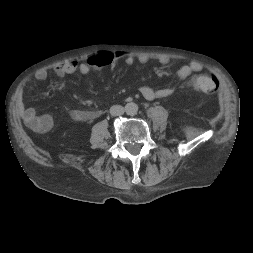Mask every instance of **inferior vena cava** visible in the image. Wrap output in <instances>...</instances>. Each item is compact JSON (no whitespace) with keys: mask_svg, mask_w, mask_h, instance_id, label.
<instances>
[{"mask_svg":"<svg viewBox=\"0 0 253 253\" xmlns=\"http://www.w3.org/2000/svg\"><path fill=\"white\" fill-rule=\"evenodd\" d=\"M125 112V108L122 107L121 105H113L110 108V114L112 116H120L123 115Z\"/></svg>","mask_w":253,"mask_h":253,"instance_id":"602c4592","label":"inferior vena cava"}]
</instances>
